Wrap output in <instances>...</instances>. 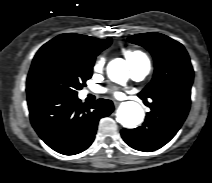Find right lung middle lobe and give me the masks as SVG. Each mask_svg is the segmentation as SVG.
Returning a JSON list of instances; mask_svg holds the SVG:
<instances>
[{"mask_svg":"<svg viewBox=\"0 0 212 183\" xmlns=\"http://www.w3.org/2000/svg\"><path fill=\"white\" fill-rule=\"evenodd\" d=\"M96 56H84L61 45L40 48L28 74L27 96L47 93L77 96V91L92 76Z\"/></svg>","mask_w":212,"mask_h":183,"instance_id":"dd1d6c3e","label":"right lung middle lobe"}]
</instances>
